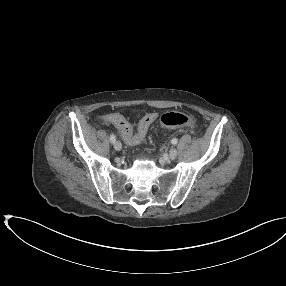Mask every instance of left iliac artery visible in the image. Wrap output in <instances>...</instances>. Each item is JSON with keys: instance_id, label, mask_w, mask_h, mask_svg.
Segmentation results:
<instances>
[{"instance_id": "obj_1", "label": "left iliac artery", "mask_w": 286, "mask_h": 286, "mask_svg": "<svg viewBox=\"0 0 286 286\" xmlns=\"http://www.w3.org/2000/svg\"><path fill=\"white\" fill-rule=\"evenodd\" d=\"M171 143H172L173 145H176V144L178 143V140H177L176 138H173V139L171 140Z\"/></svg>"}]
</instances>
